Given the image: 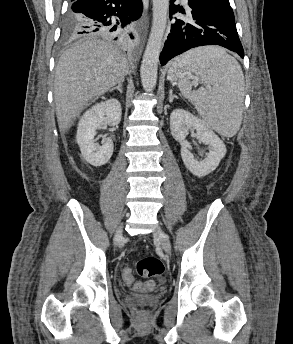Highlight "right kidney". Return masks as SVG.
<instances>
[{
  "label": "right kidney",
  "mask_w": 293,
  "mask_h": 344,
  "mask_svg": "<svg viewBox=\"0 0 293 344\" xmlns=\"http://www.w3.org/2000/svg\"><path fill=\"white\" fill-rule=\"evenodd\" d=\"M121 104L116 99L97 103L80 118L76 140L83 158L91 165L99 167L109 161L113 154V141L104 138L102 145L95 143L96 130L102 126H116L121 121Z\"/></svg>",
  "instance_id": "obj_1"
}]
</instances>
